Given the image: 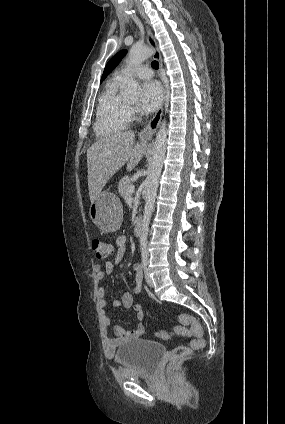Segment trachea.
I'll return each mask as SVG.
<instances>
[{"label":"trachea","instance_id":"1","mask_svg":"<svg viewBox=\"0 0 285 424\" xmlns=\"http://www.w3.org/2000/svg\"><path fill=\"white\" fill-rule=\"evenodd\" d=\"M151 66L154 68V69H158L159 68V64H158V62L157 61H153L152 63H151Z\"/></svg>","mask_w":285,"mask_h":424}]
</instances>
